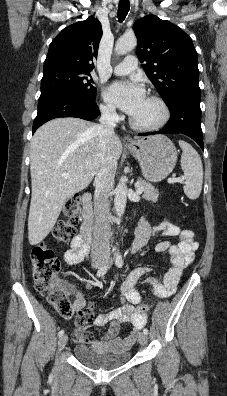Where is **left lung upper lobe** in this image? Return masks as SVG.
<instances>
[{
    "label": "left lung upper lobe",
    "instance_id": "5c2ea615",
    "mask_svg": "<svg viewBox=\"0 0 227 396\" xmlns=\"http://www.w3.org/2000/svg\"><path fill=\"white\" fill-rule=\"evenodd\" d=\"M133 29L137 56L146 62L143 68L166 104L182 92H200L197 52L181 28L147 15Z\"/></svg>",
    "mask_w": 227,
    "mask_h": 396
}]
</instances>
